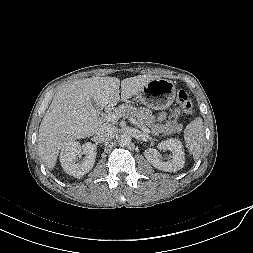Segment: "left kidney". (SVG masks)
<instances>
[{"label": "left kidney", "mask_w": 253, "mask_h": 253, "mask_svg": "<svg viewBox=\"0 0 253 253\" xmlns=\"http://www.w3.org/2000/svg\"><path fill=\"white\" fill-rule=\"evenodd\" d=\"M160 150H170L172 152V159L168 161L160 160V153L158 150L148 148L144 152L145 158L149 163L156 169L166 172H176L184 167L185 164V153L180 140L168 139L158 144Z\"/></svg>", "instance_id": "5707ae66"}]
</instances>
